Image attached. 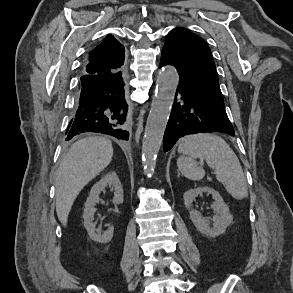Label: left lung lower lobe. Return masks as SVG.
I'll use <instances>...</instances> for the list:
<instances>
[{"instance_id":"obj_1","label":"left lung lower lobe","mask_w":293,"mask_h":293,"mask_svg":"<svg viewBox=\"0 0 293 293\" xmlns=\"http://www.w3.org/2000/svg\"><path fill=\"white\" fill-rule=\"evenodd\" d=\"M170 64L173 65L170 58L161 52L160 67ZM217 131L235 135L223 99L216 98L194 85L179 81L164 133V151L170 150L176 141L185 135Z\"/></svg>"}]
</instances>
